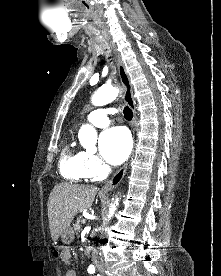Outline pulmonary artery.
Masks as SVG:
<instances>
[{
  "label": "pulmonary artery",
  "mask_w": 221,
  "mask_h": 276,
  "mask_svg": "<svg viewBox=\"0 0 221 276\" xmlns=\"http://www.w3.org/2000/svg\"><path fill=\"white\" fill-rule=\"evenodd\" d=\"M114 112L111 108H99L89 113L87 121L96 127L103 128L109 125V115Z\"/></svg>",
  "instance_id": "e3ab8cb5"
}]
</instances>
